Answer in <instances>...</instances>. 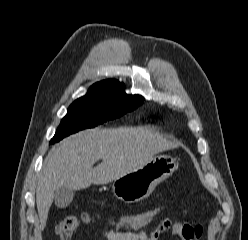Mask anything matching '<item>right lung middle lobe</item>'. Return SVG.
I'll use <instances>...</instances> for the list:
<instances>
[{"mask_svg": "<svg viewBox=\"0 0 248 240\" xmlns=\"http://www.w3.org/2000/svg\"><path fill=\"white\" fill-rule=\"evenodd\" d=\"M143 99L139 95H127L123 85L113 90L91 89L70 105L50 144L79 130L116 119L134 110Z\"/></svg>", "mask_w": 248, "mask_h": 240, "instance_id": "right-lung-middle-lobe-1", "label": "right lung middle lobe"}]
</instances>
